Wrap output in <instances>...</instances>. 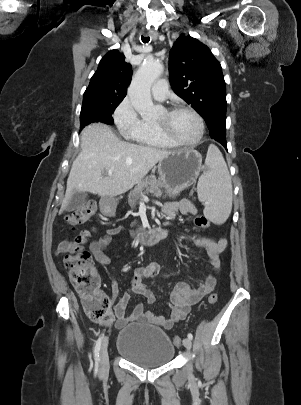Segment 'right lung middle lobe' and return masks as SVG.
Segmentation results:
<instances>
[{"instance_id":"dd1d6c3e","label":"right lung middle lobe","mask_w":301,"mask_h":405,"mask_svg":"<svg viewBox=\"0 0 301 405\" xmlns=\"http://www.w3.org/2000/svg\"><path fill=\"white\" fill-rule=\"evenodd\" d=\"M122 100L92 97L83 99L80 114L81 129L92 122L113 124L112 113Z\"/></svg>"}]
</instances>
